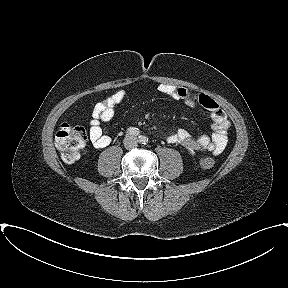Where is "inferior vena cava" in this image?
I'll return each instance as SVG.
<instances>
[{"mask_svg":"<svg viewBox=\"0 0 288 288\" xmlns=\"http://www.w3.org/2000/svg\"><path fill=\"white\" fill-rule=\"evenodd\" d=\"M124 145L127 149H132V148L137 147L138 145L137 138L134 136H127L124 139Z\"/></svg>","mask_w":288,"mask_h":288,"instance_id":"obj_1","label":"inferior vena cava"}]
</instances>
